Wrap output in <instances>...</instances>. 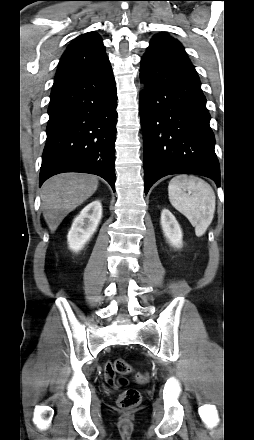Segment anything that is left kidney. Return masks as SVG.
I'll return each instance as SVG.
<instances>
[{"label":"left kidney","mask_w":254,"mask_h":440,"mask_svg":"<svg viewBox=\"0 0 254 440\" xmlns=\"http://www.w3.org/2000/svg\"><path fill=\"white\" fill-rule=\"evenodd\" d=\"M161 227L167 241L175 248L182 247V230L175 216L168 210L161 212Z\"/></svg>","instance_id":"1"}]
</instances>
